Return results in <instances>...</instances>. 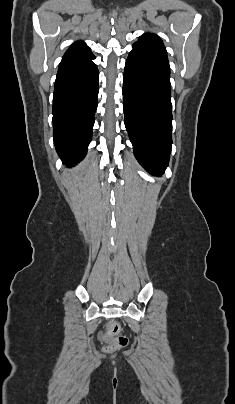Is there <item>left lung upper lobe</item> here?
<instances>
[{
    "instance_id": "5c2ea615",
    "label": "left lung upper lobe",
    "mask_w": 235,
    "mask_h": 404,
    "mask_svg": "<svg viewBox=\"0 0 235 404\" xmlns=\"http://www.w3.org/2000/svg\"><path fill=\"white\" fill-rule=\"evenodd\" d=\"M135 45H142L166 54V49L162 40L155 34L146 33L140 36L139 40L134 43Z\"/></svg>"
}]
</instances>
